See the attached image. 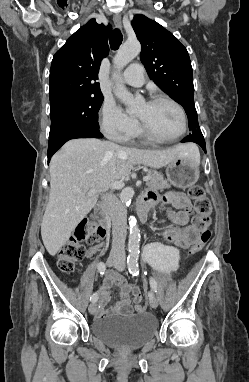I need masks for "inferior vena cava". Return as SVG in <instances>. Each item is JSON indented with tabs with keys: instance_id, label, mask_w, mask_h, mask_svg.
<instances>
[{
	"instance_id": "obj_1",
	"label": "inferior vena cava",
	"mask_w": 249,
	"mask_h": 382,
	"mask_svg": "<svg viewBox=\"0 0 249 382\" xmlns=\"http://www.w3.org/2000/svg\"><path fill=\"white\" fill-rule=\"evenodd\" d=\"M102 203L106 214L112 220V248L110 256L125 259V238H126V209L113 193H106L102 196Z\"/></svg>"
}]
</instances>
